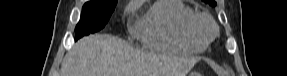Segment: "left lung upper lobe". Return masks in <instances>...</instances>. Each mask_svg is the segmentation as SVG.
<instances>
[{
	"label": "left lung upper lobe",
	"instance_id": "left-lung-upper-lobe-1",
	"mask_svg": "<svg viewBox=\"0 0 287 76\" xmlns=\"http://www.w3.org/2000/svg\"><path fill=\"white\" fill-rule=\"evenodd\" d=\"M205 3H208L211 6H216V2L214 0H203Z\"/></svg>",
	"mask_w": 287,
	"mask_h": 76
}]
</instances>
